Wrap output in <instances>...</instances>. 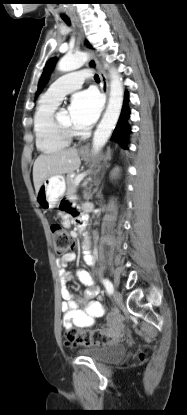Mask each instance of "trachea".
Segmentation results:
<instances>
[{"instance_id": "3493384b", "label": "trachea", "mask_w": 187, "mask_h": 415, "mask_svg": "<svg viewBox=\"0 0 187 415\" xmlns=\"http://www.w3.org/2000/svg\"><path fill=\"white\" fill-rule=\"evenodd\" d=\"M67 24H70V21L69 20H64ZM94 79H95V81L96 82H99L100 81V79H99V76L98 75H95L94 76Z\"/></svg>"}]
</instances>
